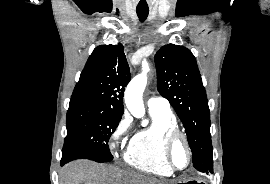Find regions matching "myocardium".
Wrapping results in <instances>:
<instances>
[{
  "mask_svg": "<svg viewBox=\"0 0 270 184\" xmlns=\"http://www.w3.org/2000/svg\"><path fill=\"white\" fill-rule=\"evenodd\" d=\"M177 140L183 141L187 150V154H188V162L186 166L183 168L176 167L171 159L172 149ZM163 158H164L165 164L173 172L184 171L188 169L191 165L193 153H192L190 142L188 140L187 135L184 132H182L178 127L171 128L167 130V132L165 133L164 140H163Z\"/></svg>",
  "mask_w": 270,
  "mask_h": 184,
  "instance_id": "obj_1",
  "label": "myocardium"
}]
</instances>
